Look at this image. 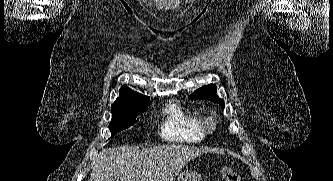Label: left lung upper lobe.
<instances>
[{
  "label": "left lung upper lobe",
  "instance_id": "obj_1",
  "mask_svg": "<svg viewBox=\"0 0 333 181\" xmlns=\"http://www.w3.org/2000/svg\"><path fill=\"white\" fill-rule=\"evenodd\" d=\"M191 99H203L210 100L214 103H218L224 107V101L216 95V86L214 84H209L196 90L192 95L189 96Z\"/></svg>",
  "mask_w": 333,
  "mask_h": 181
}]
</instances>
